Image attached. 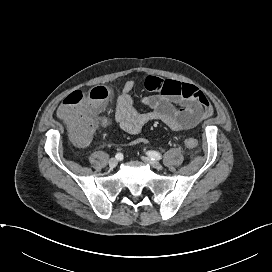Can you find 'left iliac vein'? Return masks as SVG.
Instances as JSON below:
<instances>
[{
  "label": "left iliac vein",
  "instance_id": "obj_1",
  "mask_svg": "<svg viewBox=\"0 0 272 272\" xmlns=\"http://www.w3.org/2000/svg\"><path fill=\"white\" fill-rule=\"evenodd\" d=\"M142 160L148 163L150 166H152L155 169H162V165L156 160H153L149 157H142Z\"/></svg>",
  "mask_w": 272,
  "mask_h": 272
}]
</instances>
